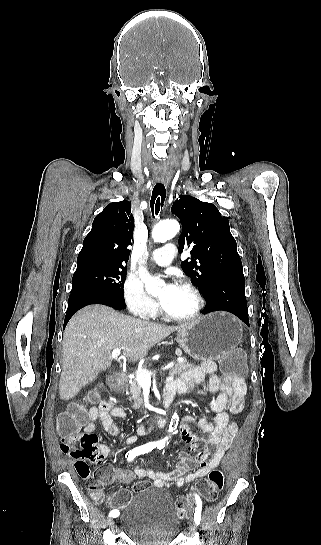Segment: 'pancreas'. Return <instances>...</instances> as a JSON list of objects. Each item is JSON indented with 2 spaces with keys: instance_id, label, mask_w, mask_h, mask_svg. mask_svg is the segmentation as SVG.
Masks as SVG:
<instances>
[{
  "instance_id": "cf45deb5",
  "label": "pancreas",
  "mask_w": 321,
  "mask_h": 545,
  "mask_svg": "<svg viewBox=\"0 0 321 545\" xmlns=\"http://www.w3.org/2000/svg\"><path fill=\"white\" fill-rule=\"evenodd\" d=\"M190 367H193L191 363H188L186 359L184 361H180V363H176L174 367H171V371H169V377H176V375H181V373H184V371H187V369H190ZM147 369V367H145ZM125 375V373H124ZM129 391H130V399H133L134 401V409H140V407H143V399L141 395V389L140 385H138L137 381H133V383H129Z\"/></svg>"
}]
</instances>
